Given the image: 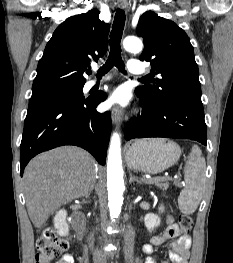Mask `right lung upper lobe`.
I'll return each instance as SVG.
<instances>
[{
	"label": "right lung upper lobe",
	"mask_w": 233,
	"mask_h": 263,
	"mask_svg": "<svg viewBox=\"0 0 233 263\" xmlns=\"http://www.w3.org/2000/svg\"><path fill=\"white\" fill-rule=\"evenodd\" d=\"M109 30L110 26L99 19L97 9L60 24L39 60L32 96L83 86V73L90 62L107 51Z\"/></svg>",
	"instance_id": "cb5924a9"
}]
</instances>
